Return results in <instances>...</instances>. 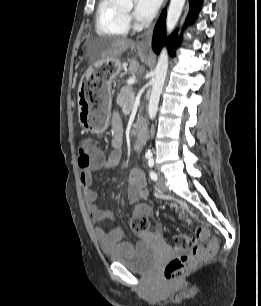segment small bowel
<instances>
[{
  "instance_id": "obj_1",
  "label": "small bowel",
  "mask_w": 261,
  "mask_h": 306,
  "mask_svg": "<svg viewBox=\"0 0 261 306\" xmlns=\"http://www.w3.org/2000/svg\"><path fill=\"white\" fill-rule=\"evenodd\" d=\"M111 140L112 150L107 158L99 164L90 166L80 172L79 180L81 185L84 203L93 224L112 218V213L101 209L97 204V195L92 190V172L111 169L119 166L122 159L123 126L121 118L115 114L112 118ZM147 183L144 174L139 169H132L129 173L127 194L129 201L133 205V214L148 215L151 212L150 206L140 201L141 193L146 191ZM94 234L106 252L127 254L131 245L123 241V231L120 227L106 230L100 226L94 228Z\"/></svg>"
}]
</instances>
